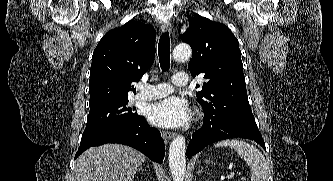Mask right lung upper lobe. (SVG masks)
Instances as JSON below:
<instances>
[{"label": "right lung upper lobe", "instance_id": "cb5924a9", "mask_svg": "<svg viewBox=\"0 0 333 181\" xmlns=\"http://www.w3.org/2000/svg\"><path fill=\"white\" fill-rule=\"evenodd\" d=\"M156 32L150 25L129 21L106 33L92 56L89 93L91 108L127 99L153 64Z\"/></svg>", "mask_w": 333, "mask_h": 181}]
</instances>
